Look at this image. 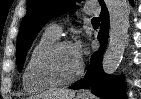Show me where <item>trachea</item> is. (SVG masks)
Masks as SVG:
<instances>
[{"mask_svg":"<svg viewBox=\"0 0 141 99\" xmlns=\"http://www.w3.org/2000/svg\"><path fill=\"white\" fill-rule=\"evenodd\" d=\"M93 23H99L100 22V19L99 18H92L91 20Z\"/></svg>","mask_w":141,"mask_h":99,"instance_id":"1","label":"trachea"}]
</instances>
